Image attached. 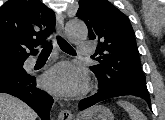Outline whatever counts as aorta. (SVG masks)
Instances as JSON below:
<instances>
[{
    "mask_svg": "<svg viewBox=\"0 0 165 120\" xmlns=\"http://www.w3.org/2000/svg\"><path fill=\"white\" fill-rule=\"evenodd\" d=\"M65 31L68 37L74 41L86 39L88 35V29L85 23L78 19L68 21Z\"/></svg>",
    "mask_w": 165,
    "mask_h": 120,
    "instance_id": "762f6f07",
    "label": "aorta"
}]
</instances>
